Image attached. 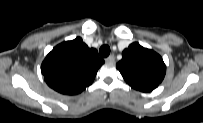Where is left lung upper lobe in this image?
<instances>
[{"label":"left lung upper lobe","instance_id":"5c2ea615","mask_svg":"<svg viewBox=\"0 0 203 123\" xmlns=\"http://www.w3.org/2000/svg\"><path fill=\"white\" fill-rule=\"evenodd\" d=\"M117 69L134 89L149 92L162 82L166 66L159 54L134 42L122 53Z\"/></svg>","mask_w":203,"mask_h":123}]
</instances>
